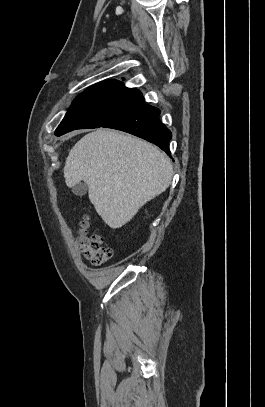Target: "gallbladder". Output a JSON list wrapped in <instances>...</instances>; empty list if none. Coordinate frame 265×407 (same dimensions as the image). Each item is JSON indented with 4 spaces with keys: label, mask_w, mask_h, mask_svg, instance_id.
I'll return each instance as SVG.
<instances>
[{
    "label": "gallbladder",
    "mask_w": 265,
    "mask_h": 407,
    "mask_svg": "<svg viewBox=\"0 0 265 407\" xmlns=\"http://www.w3.org/2000/svg\"><path fill=\"white\" fill-rule=\"evenodd\" d=\"M88 186L84 182H80L72 187V192L77 196H83L87 193Z\"/></svg>",
    "instance_id": "gallbladder-1"
}]
</instances>
